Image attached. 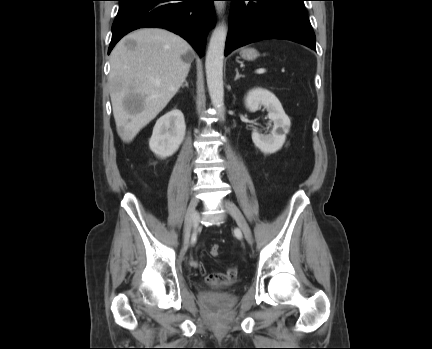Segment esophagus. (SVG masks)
<instances>
[{"mask_svg":"<svg viewBox=\"0 0 432 349\" xmlns=\"http://www.w3.org/2000/svg\"><path fill=\"white\" fill-rule=\"evenodd\" d=\"M215 8H216L218 15L221 16L224 13L225 5L222 1H216L215 2Z\"/></svg>","mask_w":432,"mask_h":349,"instance_id":"obj_1","label":"esophagus"}]
</instances>
